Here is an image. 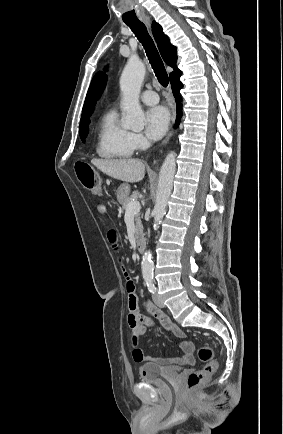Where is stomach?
Returning <instances> with one entry per match:
<instances>
[{"mask_svg": "<svg viewBox=\"0 0 283 434\" xmlns=\"http://www.w3.org/2000/svg\"><path fill=\"white\" fill-rule=\"evenodd\" d=\"M130 193V186L128 184H121L117 191H116V195H117V200L120 204L124 203Z\"/></svg>", "mask_w": 283, "mask_h": 434, "instance_id": "1", "label": "stomach"}]
</instances>
